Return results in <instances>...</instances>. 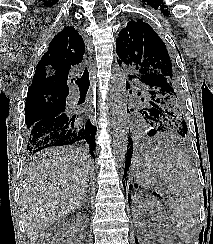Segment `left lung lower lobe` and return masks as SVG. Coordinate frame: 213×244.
Wrapping results in <instances>:
<instances>
[{"label":"left lung lower lobe","mask_w":213,"mask_h":244,"mask_svg":"<svg viewBox=\"0 0 213 244\" xmlns=\"http://www.w3.org/2000/svg\"><path fill=\"white\" fill-rule=\"evenodd\" d=\"M132 111V110H131ZM129 112V110H128ZM148 119L152 120L153 121V118H151V116L149 114H145L143 113ZM152 127H154L153 129H151L147 134L148 136L150 137H153L154 135H156L158 132H165V127H164V124H158L156 122V120H154L152 123H151ZM132 153H133V142L131 141V139H129V144L127 146V157H126V162H125V171H124V178H126V175H127V171L129 170V166H130V163H131V157H132ZM126 182H127V179H126Z\"/></svg>","instance_id":"obj_1"}]
</instances>
